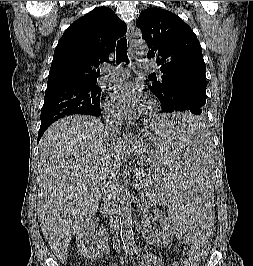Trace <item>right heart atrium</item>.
<instances>
[{"mask_svg":"<svg viewBox=\"0 0 253 266\" xmlns=\"http://www.w3.org/2000/svg\"><path fill=\"white\" fill-rule=\"evenodd\" d=\"M103 113L105 118L110 121H116L121 118V114L118 109L108 100H105L103 103Z\"/></svg>","mask_w":253,"mask_h":266,"instance_id":"1","label":"right heart atrium"}]
</instances>
